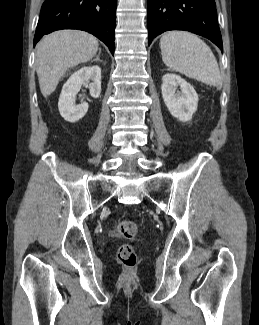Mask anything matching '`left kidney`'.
<instances>
[{
    "label": "left kidney",
    "instance_id": "obj_1",
    "mask_svg": "<svg viewBox=\"0 0 259 325\" xmlns=\"http://www.w3.org/2000/svg\"><path fill=\"white\" fill-rule=\"evenodd\" d=\"M161 90L170 114L182 122L190 121L198 104V95L194 88L180 76L166 74L162 78Z\"/></svg>",
    "mask_w": 259,
    "mask_h": 325
}]
</instances>
